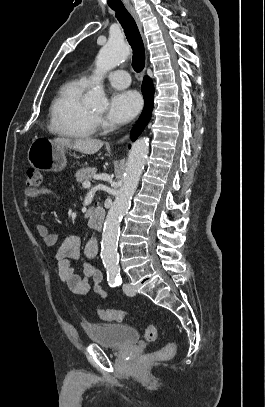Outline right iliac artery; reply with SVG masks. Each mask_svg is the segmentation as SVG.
<instances>
[{"label":"right iliac artery","instance_id":"1","mask_svg":"<svg viewBox=\"0 0 265 407\" xmlns=\"http://www.w3.org/2000/svg\"><path fill=\"white\" fill-rule=\"evenodd\" d=\"M109 286L110 287H115L116 286V280H109Z\"/></svg>","mask_w":265,"mask_h":407}]
</instances>
